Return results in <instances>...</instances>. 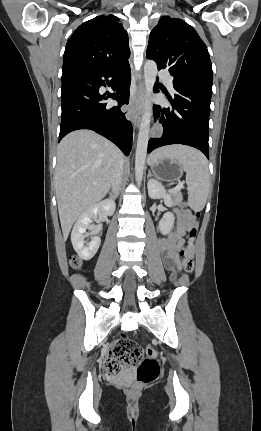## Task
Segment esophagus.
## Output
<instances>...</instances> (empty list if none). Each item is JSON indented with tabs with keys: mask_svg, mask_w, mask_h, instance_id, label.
<instances>
[{
	"mask_svg": "<svg viewBox=\"0 0 261 431\" xmlns=\"http://www.w3.org/2000/svg\"><path fill=\"white\" fill-rule=\"evenodd\" d=\"M143 95L144 84L139 82L137 87L130 91V102L126 113V117L137 127L139 126L142 115Z\"/></svg>",
	"mask_w": 261,
	"mask_h": 431,
	"instance_id": "1",
	"label": "esophagus"
}]
</instances>
